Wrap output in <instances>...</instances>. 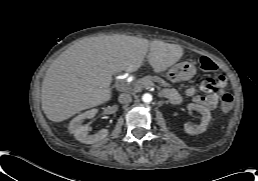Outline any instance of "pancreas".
Wrapping results in <instances>:
<instances>
[{"label":"pancreas","mask_w":258,"mask_h":181,"mask_svg":"<svg viewBox=\"0 0 258 181\" xmlns=\"http://www.w3.org/2000/svg\"><path fill=\"white\" fill-rule=\"evenodd\" d=\"M153 82H158L163 87L170 86V84L163 79L153 78L149 76L134 80L132 86L134 87L143 86V85L147 86V85L153 84Z\"/></svg>","instance_id":"pancreas-1"}]
</instances>
